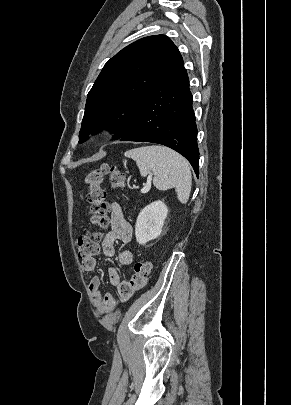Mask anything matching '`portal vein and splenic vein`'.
<instances>
[{
  "label": "portal vein and splenic vein",
  "mask_w": 291,
  "mask_h": 405,
  "mask_svg": "<svg viewBox=\"0 0 291 405\" xmlns=\"http://www.w3.org/2000/svg\"><path fill=\"white\" fill-rule=\"evenodd\" d=\"M149 190H150V186H149V185L144 186V187L141 189V193H147Z\"/></svg>",
  "instance_id": "portal-vein-and-splenic-vein-1"
}]
</instances>
